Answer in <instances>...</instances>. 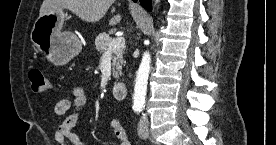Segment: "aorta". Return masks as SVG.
Instances as JSON below:
<instances>
[{"mask_svg": "<svg viewBox=\"0 0 276 145\" xmlns=\"http://www.w3.org/2000/svg\"><path fill=\"white\" fill-rule=\"evenodd\" d=\"M159 2L156 0V3ZM151 56L148 51L144 52L139 69L136 75L133 105L134 107H142L145 103L147 91L148 77L150 73Z\"/></svg>", "mask_w": 276, "mask_h": 145, "instance_id": "obj_1", "label": "aorta"}]
</instances>
